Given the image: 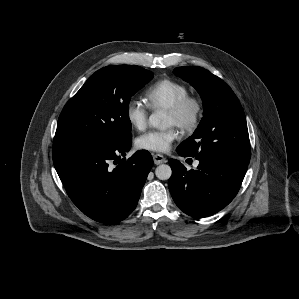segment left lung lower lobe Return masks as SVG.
Segmentation results:
<instances>
[{
	"mask_svg": "<svg viewBox=\"0 0 299 299\" xmlns=\"http://www.w3.org/2000/svg\"><path fill=\"white\" fill-rule=\"evenodd\" d=\"M169 164L172 176L168 185L173 200L184 213L197 218L208 217L227 206L238 193L248 168L240 163L201 159L196 170L187 171L175 159H170Z\"/></svg>",
	"mask_w": 299,
	"mask_h": 299,
	"instance_id": "0a47b994",
	"label": "left lung lower lobe"
}]
</instances>
